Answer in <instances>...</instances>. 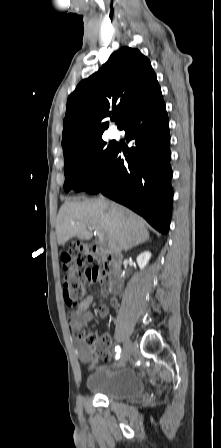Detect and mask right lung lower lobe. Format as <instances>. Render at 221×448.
<instances>
[{
	"label": "right lung lower lobe",
	"instance_id": "obj_1",
	"mask_svg": "<svg viewBox=\"0 0 221 448\" xmlns=\"http://www.w3.org/2000/svg\"><path fill=\"white\" fill-rule=\"evenodd\" d=\"M120 129L125 131L127 142H132L128 155L116 146L104 171L85 191L102 193L129 207L165 234L171 219L173 173L169 120L162 94L130 114Z\"/></svg>",
	"mask_w": 221,
	"mask_h": 448
}]
</instances>
